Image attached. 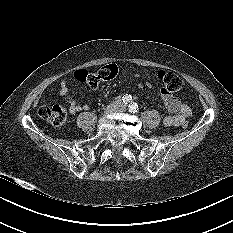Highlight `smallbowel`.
<instances>
[{"mask_svg":"<svg viewBox=\"0 0 233 233\" xmlns=\"http://www.w3.org/2000/svg\"><path fill=\"white\" fill-rule=\"evenodd\" d=\"M68 92V82L63 80L60 83L59 93L69 105L71 114H76L80 111L89 109L87 104L78 103L73 98L68 97ZM161 97L167 110L172 113V115H168L163 119V123L166 127L181 126L192 115V110L187 104L182 103L178 98L166 93L163 89L161 90Z\"/></svg>","mask_w":233,"mask_h":233,"instance_id":"c3829d8e","label":"small bowel"}]
</instances>
